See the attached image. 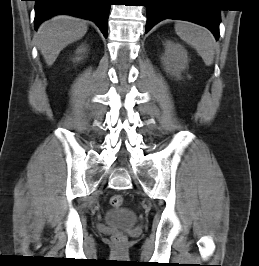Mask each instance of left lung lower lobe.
Listing matches in <instances>:
<instances>
[{"mask_svg": "<svg viewBox=\"0 0 259 266\" xmlns=\"http://www.w3.org/2000/svg\"><path fill=\"white\" fill-rule=\"evenodd\" d=\"M145 3L147 10L146 33L164 19H177L207 27L217 40L219 38L221 19L218 9L209 8L205 4L193 5L192 0H146Z\"/></svg>", "mask_w": 259, "mask_h": 266, "instance_id": "left-lung-lower-lobe-1", "label": "left lung lower lobe"}]
</instances>
